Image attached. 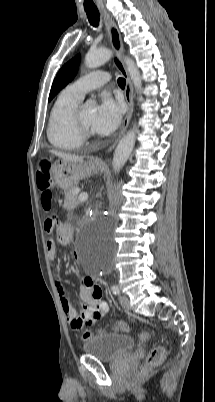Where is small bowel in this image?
Instances as JSON below:
<instances>
[{"mask_svg":"<svg viewBox=\"0 0 215 402\" xmlns=\"http://www.w3.org/2000/svg\"><path fill=\"white\" fill-rule=\"evenodd\" d=\"M53 230H56L58 241L61 245H68L70 243L72 231L68 226L60 225L55 222L54 227L51 230H46V232L49 233ZM46 246L48 256L54 259L57 253L56 241L49 239L46 242ZM56 286L65 317L75 330L81 329L84 325L97 323L109 312V305L102 300L101 288L88 276L81 278L80 298L85 306L79 311L72 306L59 279H56Z\"/></svg>","mask_w":215,"mask_h":402,"instance_id":"1","label":"small bowel"}]
</instances>
